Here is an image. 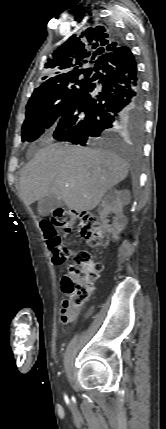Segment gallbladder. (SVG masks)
I'll return each mask as SVG.
<instances>
[{"mask_svg":"<svg viewBox=\"0 0 166 429\" xmlns=\"http://www.w3.org/2000/svg\"><path fill=\"white\" fill-rule=\"evenodd\" d=\"M62 200H59L55 195L46 197L38 202L37 210L39 215L47 216L58 207L63 206Z\"/></svg>","mask_w":166,"mask_h":429,"instance_id":"obj_1","label":"gallbladder"}]
</instances>
